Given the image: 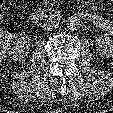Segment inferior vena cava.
<instances>
[{"mask_svg":"<svg viewBox=\"0 0 113 113\" xmlns=\"http://www.w3.org/2000/svg\"><path fill=\"white\" fill-rule=\"evenodd\" d=\"M59 23L55 20H48L43 23L42 28L44 31H52L53 29L58 28Z\"/></svg>","mask_w":113,"mask_h":113,"instance_id":"1","label":"inferior vena cava"}]
</instances>
